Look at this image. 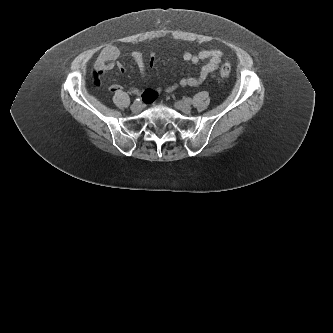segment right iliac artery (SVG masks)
Returning <instances> with one entry per match:
<instances>
[{"mask_svg":"<svg viewBox=\"0 0 333 333\" xmlns=\"http://www.w3.org/2000/svg\"><path fill=\"white\" fill-rule=\"evenodd\" d=\"M135 102H140V103H141L140 98H137V99L135 100Z\"/></svg>","mask_w":333,"mask_h":333,"instance_id":"1","label":"right iliac artery"}]
</instances>
